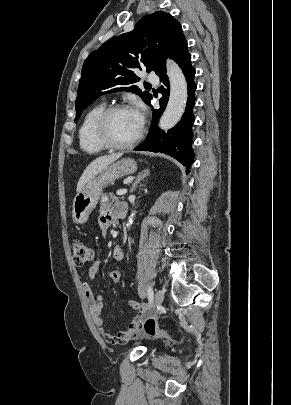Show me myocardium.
I'll use <instances>...</instances> for the list:
<instances>
[{"instance_id":"1","label":"myocardium","mask_w":291,"mask_h":405,"mask_svg":"<svg viewBox=\"0 0 291 405\" xmlns=\"http://www.w3.org/2000/svg\"><path fill=\"white\" fill-rule=\"evenodd\" d=\"M128 109L132 108L126 104H114L109 107H106L99 115L95 124V135L97 140L106 148L115 150H126L134 147L141 140L144 133V129L142 126L138 134L127 143L115 142L110 136L109 123L111 117L119 111Z\"/></svg>"}]
</instances>
